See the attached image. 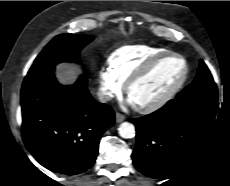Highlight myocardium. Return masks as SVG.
Masks as SVG:
<instances>
[{
    "label": "myocardium",
    "instance_id": "obj_1",
    "mask_svg": "<svg viewBox=\"0 0 230 186\" xmlns=\"http://www.w3.org/2000/svg\"><path fill=\"white\" fill-rule=\"evenodd\" d=\"M168 57H176L183 62L184 65L183 73L181 77L172 85V87L168 91H166L159 99L149 104L138 105V106L136 105L137 110H139L142 113L155 112L160 108H162L163 106H165L170 100L173 99V97L181 89V87L184 85V83L188 78L189 65L187 60L182 55L176 52L167 51L161 53L151 58L149 61H147L139 70L133 73L125 82V92L128 95L129 90L133 84H135L137 81L141 80L146 75H148L159 62H161L162 60Z\"/></svg>",
    "mask_w": 230,
    "mask_h": 186
}]
</instances>
